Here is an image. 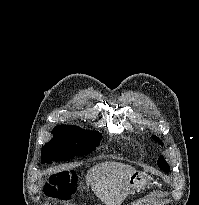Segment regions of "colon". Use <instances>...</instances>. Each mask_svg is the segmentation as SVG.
<instances>
[{
    "instance_id": "colon-1",
    "label": "colon",
    "mask_w": 199,
    "mask_h": 205,
    "mask_svg": "<svg viewBox=\"0 0 199 205\" xmlns=\"http://www.w3.org/2000/svg\"><path fill=\"white\" fill-rule=\"evenodd\" d=\"M74 174L63 171L50 175L45 183V194L50 198L65 197L73 188Z\"/></svg>"
}]
</instances>
